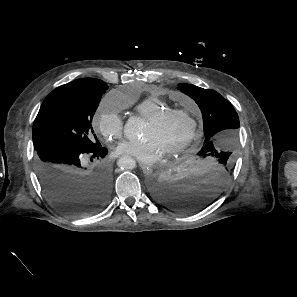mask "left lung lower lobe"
I'll list each match as a JSON object with an SVG mask.
<instances>
[{"instance_id": "obj_1", "label": "left lung lower lobe", "mask_w": 297, "mask_h": 297, "mask_svg": "<svg viewBox=\"0 0 297 297\" xmlns=\"http://www.w3.org/2000/svg\"><path fill=\"white\" fill-rule=\"evenodd\" d=\"M233 164L225 158L198 156L179 168L171 180L160 178L152 184L155 198L182 213L205 209L223 192L232 175Z\"/></svg>"}]
</instances>
